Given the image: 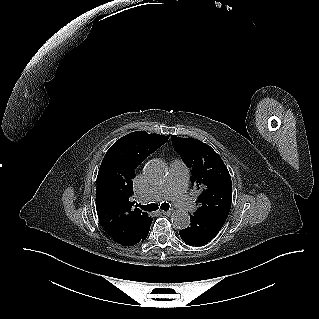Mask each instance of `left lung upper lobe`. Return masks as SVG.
<instances>
[{"label": "left lung upper lobe", "mask_w": 319, "mask_h": 319, "mask_svg": "<svg viewBox=\"0 0 319 319\" xmlns=\"http://www.w3.org/2000/svg\"><path fill=\"white\" fill-rule=\"evenodd\" d=\"M175 150L192 171V185L200 191L193 214L228 217L232 181L228 169L212 147L193 138L172 136Z\"/></svg>", "instance_id": "obj_1"}]
</instances>
